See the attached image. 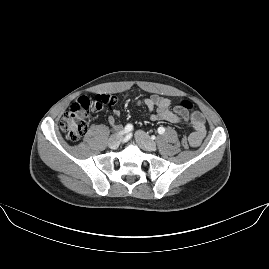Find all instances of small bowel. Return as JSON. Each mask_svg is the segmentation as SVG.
I'll use <instances>...</instances> for the list:
<instances>
[{"mask_svg":"<svg viewBox=\"0 0 269 269\" xmlns=\"http://www.w3.org/2000/svg\"><path fill=\"white\" fill-rule=\"evenodd\" d=\"M137 105H143L147 108V114L151 121H166L170 123L191 124L193 132L190 135V145L198 147L206 133L205 121L202 114L195 111L190 115L185 111L176 109L171 110V101L167 97L153 95L137 102ZM155 110V112H153ZM120 115L119 110H114L113 114L107 117V123L111 127L116 126L117 117Z\"/></svg>","mask_w":269,"mask_h":269,"instance_id":"obj_1","label":"small bowel"}]
</instances>
